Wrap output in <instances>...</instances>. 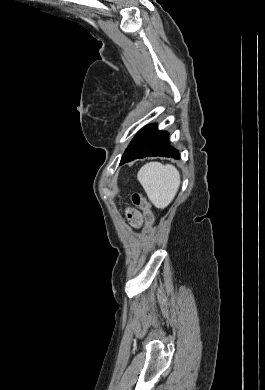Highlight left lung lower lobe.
Instances as JSON below:
<instances>
[{
    "instance_id": "1",
    "label": "left lung lower lobe",
    "mask_w": 265,
    "mask_h": 390,
    "mask_svg": "<svg viewBox=\"0 0 265 390\" xmlns=\"http://www.w3.org/2000/svg\"><path fill=\"white\" fill-rule=\"evenodd\" d=\"M155 156L180 158L179 152L168 142V133L159 131L155 124H150L142 128L132 139L120 164L137 158Z\"/></svg>"
}]
</instances>
